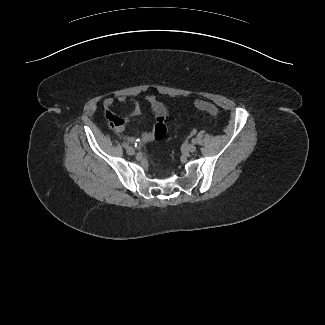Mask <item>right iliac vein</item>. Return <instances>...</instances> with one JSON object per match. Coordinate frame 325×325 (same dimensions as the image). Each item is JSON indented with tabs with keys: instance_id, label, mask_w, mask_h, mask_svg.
<instances>
[{
	"instance_id": "right-iliac-vein-1",
	"label": "right iliac vein",
	"mask_w": 325,
	"mask_h": 325,
	"mask_svg": "<svg viewBox=\"0 0 325 325\" xmlns=\"http://www.w3.org/2000/svg\"><path fill=\"white\" fill-rule=\"evenodd\" d=\"M126 151H127V153H128L129 155H133V154L135 153V150H134L133 147H131V146H128V147L126 148Z\"/></svg>"
}]
</instances>
